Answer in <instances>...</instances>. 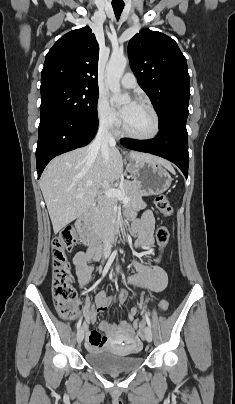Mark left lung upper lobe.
<instances>
[{
	"label": "left lung upper lobe",
	"mask_w": 235,
	"mask_h": 404,
	"mask_svg": "<svg viewBox=\"0 0 235 404\" xmlns=\"http://www.w3.org/2000/svg\"><path fill=\"white\" fill-rule=\"evenodd\" d=\"M127 51L131 69L159 115V127L186 124L190 77L177 43L163 33L142 29Z\"/></svg>",
	"instance_id": "5c2ea615"
}]
</instances>
